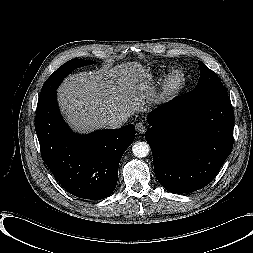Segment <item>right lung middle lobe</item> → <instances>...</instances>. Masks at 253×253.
I'll return each mask as SVG.
<instances>
[{
	"instance_id": "1",
	"label": "right lung middle lobe",
	"mask_w": 253,
	"mask_h": 253,
	"mask_svg": "<svg viewBox=\"0 0 253 253\" xmlns=\"http://www.w3.org/2000/svg\"><path fill=\"white\" fill-rule=\"evenodd\" d=\"M93 61H83L80 59H72L62 66H60L44 83L41 93L38 99V105L42 104L46 99L52 95L63 79L71 73L74 69L84 66L86 64H92Z\"/></svg>"
}]
</instances>
